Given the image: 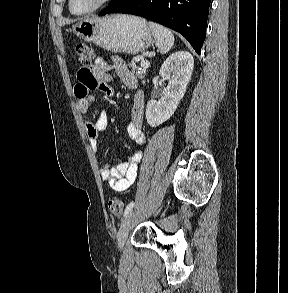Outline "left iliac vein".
Instances as JSON below:
<instances>
[{"mask_svg": "<svg viewBox=\"0 0 288 293\" xmlns=\"http://www.w3.org/2000/svg\"><path fill=\"white\" fill-rule=\"evenodd\" d=\"M134 216H135V212L131 210L123 219V222L121 224L120 230L117 235V242L120 248L123 247L126 241Z\"/></svg>", "mask_w": 288, "mask_h": 293, "instance_id": "obj_1", "label": "left iliac vein"}]
</instances>
